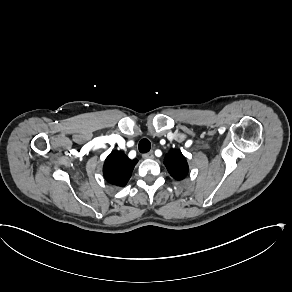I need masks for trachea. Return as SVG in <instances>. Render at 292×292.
Masks as SVG:
<instances>
[{
  "mask_svg": "<svg viewBox=\"0 0 292 292\" xmlns=\"http://www.w3.org/2000/svg\"><path fill=\"white\" fill-rule=\"evenodd\" d=\"M151 149V143L148 139L143 138L140 142H139V152L140 153H147L149 152Z\"/></svg>",
  "mask_w": 292,
  "mask_h": 292,
  "instance_id": "obj_1",
  "label": "trachea"
}]
</instances>
